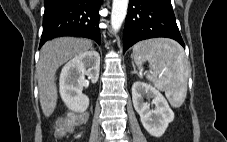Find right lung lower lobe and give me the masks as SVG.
Here are the masks:
<instances>
[{
    "mask_svg": "<svg viewBox=\"0 0 227 142\" xmlns=\"http://www.w3.org/2000/svg\"><path fill=\"white\" fill-rule=\"evenodd\" d=\"M101 3V0H45L40 47L58 36L86 37L100 44Z\"/></svg>",
    "mask_w": 227,
    "mask_h": 142,
    "instance_id": "1",
    "label": "right lung lower lobe"
}]
</instances>
